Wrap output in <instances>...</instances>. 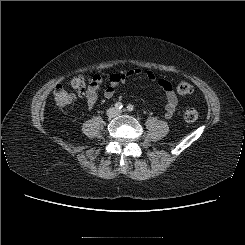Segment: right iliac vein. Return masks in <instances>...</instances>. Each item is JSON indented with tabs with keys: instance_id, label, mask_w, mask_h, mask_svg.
<instances>
[{
	"instance_id": "obj_1",
	"label": "right iliac vein",
	"mask_w": 245,
	"mask_h": 245,
	"mask_svg": "<svg viewBox=\"0 0 245 245\" xmlns=\"http://www.w3.org/2000/svg\"><path fill=\"white\" fill-rule=\"evenodd\" d=\"M108 114L110 116H114L116 114V110L115 109H110L109 112H108Z\"/></svg>"
}]
</instances>
